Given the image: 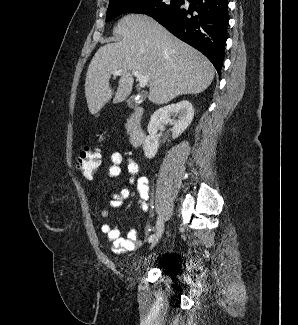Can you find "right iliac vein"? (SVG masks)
Wrapping results in <instances>:
<instances>
[{"label":"right iliac vein","instance_id":"63e3f726","mask_svg":"<svg viewBox=\"0 0 298 325\" xmlns=\"http://www.w3.org/2000/svg\"><path fill=\"white\" fill-rule=\"evenodd\" d=\"M163 230H164V221L159 216L156 224V234L154 240L152 241L151 249L156 245L158 240L161 238Z\"/></svg>","mask_w":298,"mask_h":325}]
</instances>
